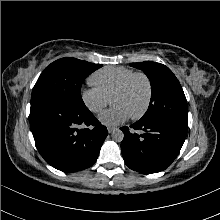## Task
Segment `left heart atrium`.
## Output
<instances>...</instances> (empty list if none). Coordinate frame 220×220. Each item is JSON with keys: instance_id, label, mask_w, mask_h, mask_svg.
Listing matches in <instances>:
<instances>
[{"instance_id": "1", "label": "left heart atrium", "mask_w": 220, "mask_h": 220, "mask_svg": "<svg viewBox=\"0 0 220 220\" xmlns=\"http://www.w3.org/2000/svg\"><path fill=\"white\" fill-rule=\"evenodd\" d=\"M130 117V113L120 105H114L112 108L102 112L99 120L106 125L114 126L125 122Z\"/></svg>"}]
</instances>
